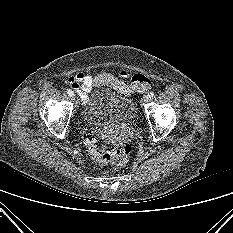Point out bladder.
Wrapping results in <instances>:
<instances>
[{"label":"bladder","mask_w":233,"mask_h":233,"mask_svg":"<svg viewBox=\"0 0 233 233\" xmlns=\"http://www.w3.org/2000/svg\"><path fill=\"white\" fill-rule=\"evenodd\" d=\"M83 114L85 120L92 125L111 126L132 122L136 110L129 97L109 89H98L89 97Z\"/></svg>","instance_id":"bladder-1"}]
</instances>
